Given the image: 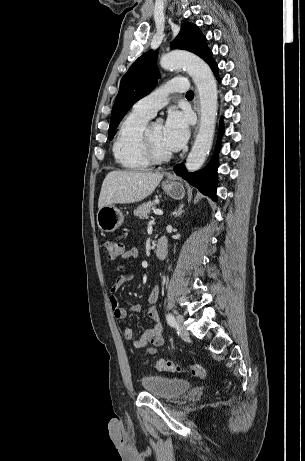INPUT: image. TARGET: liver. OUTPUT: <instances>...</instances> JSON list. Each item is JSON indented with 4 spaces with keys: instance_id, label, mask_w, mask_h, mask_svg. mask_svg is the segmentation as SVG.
Here are the masks:
<instances>
[{
    "instance_id": "liver-1",
    "label": "liver",
    "mask_w": 305,
    "mask_h": 461,
    "mask_svg": "<svg viewBox=\"0 0 305 461\" xmlns=\"http://www.w3.org/2000/svg\"><path fill=\"white\" fill-rule=\"evenodd\" d=\"M163 178L147 171H111L102 184L98 208L112 204H129L149 196Z\"/></svg>"
}]
</instances>
